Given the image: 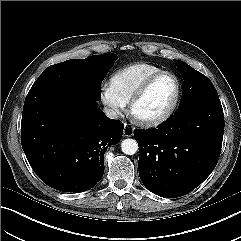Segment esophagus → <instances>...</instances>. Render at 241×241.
Returning a JSON list of instances; mask_svg holds the SVG:
<instances>
[{
  "instance_id": "esophagus-1",
  "label": "esophagus",
  "mask_w": 241,
  "mask_h": 241,
  "mask_svg": "<svg viewBox=\"0 0 241 241\" xmlns=\"http://www.w3.org/2000/svg\"><path fill=\"white\" fill-rule=\"evenodd\" d=\"M133 135V128L130 127L127 124H124V129H123V136L124 137H131Z\"/></svg>"
}]
</instances>
